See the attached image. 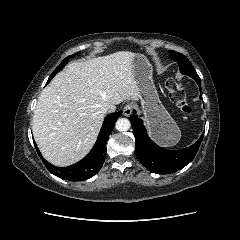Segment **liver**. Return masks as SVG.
I'll list each match as a JSON object with an SVG mask.
<instances>
[{
  "label": "liver",
  "instance_id": "1",
  "mask_svg": "<svg viewBox=\"0 0 240 240\" xmlns=\"http://www.w3.org/2000/svg\"><path fill=\"white\" fill-rule=\"evenodd\" d=\"M135 54H113L70 63L41 92L33 136L44 158L56 166L81 160L93 147L105 113L126 100L141 99L132 72Z\"/></svg>",
  "mask_w": 240,
  "mask_h": 240
}]
</instances>
